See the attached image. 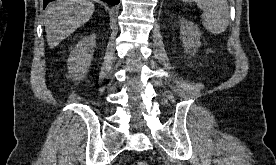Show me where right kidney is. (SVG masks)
<instances>
[{"instance_id":"ca27d5eb","label":"right kidney","mask_w":276,"mask_h":165,"mask_svg":"<svg viewBox=\"0 0 276 165\" xmlns=\"http://www.w3.org/2000/svg\"><path fill=\"white\" fill-rule=\"evenodd\" d=\"M95 40V34L89 35L79 41L72 49L67 61L68 73L71 78L81 80L88 72L93 58Z\"/></svg>"}]
</instances>
